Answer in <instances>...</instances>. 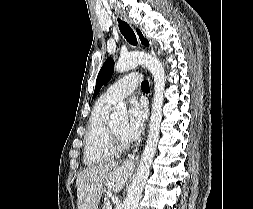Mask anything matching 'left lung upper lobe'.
Masks as SVG:
<instances>
[{
    "mask_svg": "<svg viewBox=\"0 0 253 209\" xmlns=\"http://www.w3.org/2000/svg\"><path fill=\"white\" fill-rule=\"evenodd\" d=\"M136 31L139 35V38H140L142 44L144 46H148L149 45L148 40L142 36L140 30L137 29ZM113 71H114V61L112 58H108L105 61V63L103 64V66L98 74L93 97H96L98 95L100 89L102 88V86L104 84H106L111 79Z\"/></svg>",
    "mask_w": 253,
    "mask_h": 209,
    "instance_id": "5c2ea615",
    "label": "left lung upper lobe"
}]
</instances>
